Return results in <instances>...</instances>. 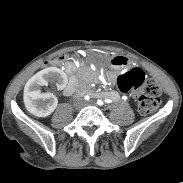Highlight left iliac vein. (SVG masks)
Here are the masks:
<instances>
[{
  "label": "left iliac vein",
  "instance_id": "4c4485c4",
  "mask_svg": "<svg viewBox=\"0 0 183 183\" xmlns=\"http://www.w3.org/2000/svg\"><path fill=\"white\" fill-rule=\"evenodd\" d=\"M85 105H95L93 101L86 102Z\"/></svg>",
  "mask_w": 183,
  "mask_h": 183
}]
</instances>
